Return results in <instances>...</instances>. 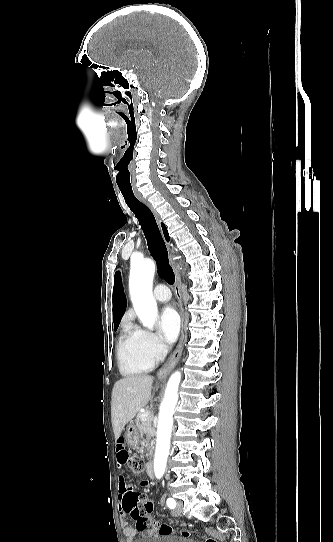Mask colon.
Returning a JSON list of instances; mask_svg holds the SVG:
<instances>
[{
  "label": "colon",
  "instance_id": "5ec220e1",
  "mask_svg": "<svg viewBox=\"0 0 333 542\" xmlns=\"http://www.w3.org/2000/svg\"><path fill=\"white\" fill-rule=\"evenodd\" d=\"M129 468L132 473L141 474L145 470V462L141 457L132 455L129 457ZM140 497L141 492L139 489H126L122 498L124 509L136 524L137 530L150 533L152 539H157L159 535L164 537L169 535L171 527L168 524L158 523L150 516L154 509V502L152 500H143L141 502ZM205 542H215V540L207 538Z\"/></svg>",
  "mask_w": 333,
  "mask_h": 542
}]
</instances>
